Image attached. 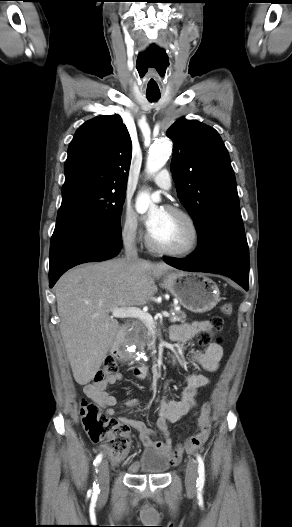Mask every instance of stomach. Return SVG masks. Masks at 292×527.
<instances>
[{
    "mask_svg": "<svg viewBox=\"0 0 292 527\" xmlns=\"http://www.w3.org/2000/svg\"><path fill=\"white\" fill-rule=\"evenodd\" d=\"M164 287L187 310L204 313L220 301V292L214 281L202 273L177 271L166 275Z\"/></svg>",
    "mask_w": 292,
    "mask_h": 527,
    "instance_id": "1",
    "label": "stomach"
}]
</instances>
